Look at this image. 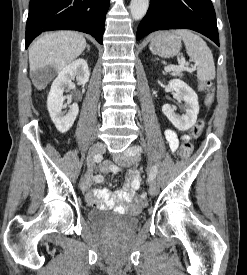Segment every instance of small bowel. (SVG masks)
I'll return each mask as SVG.
<instances>
[{
  "instance_id": "c3829d8e",
  "label": "small bowel",
  "mask_w": 247,
  "mask_h": 275,
  "mask_svg": "<svg viewBox=\"0 0 247 275\" xmlns=\"http://www.w3.org/2000/svg\"><path fill=\"white\" fill-rule=\"evenodd\" d=\"M165 138L170 149L174 152L179 146V137L174 130H165ZM183 140H189V136H183ZM101 171L104 173H119L121 168L109 162H105L101 166ZM128 182L122 189L111 193L108 189H93L86 195L87 202L96 207H116L122 211H136L137 207L133 203L134 194L140 187V176L136 171L128 173Z\"/></svg>"
}]
</instances>
